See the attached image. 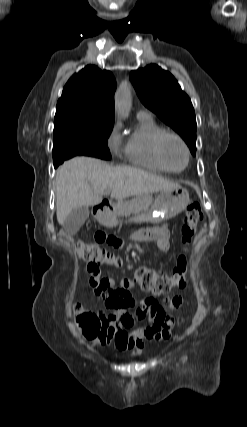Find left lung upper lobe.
I'll return each instance as SVG.
<instances>
[{
	"label": "left lung upper lobe",
	"mask_w": 247,
	"mask_h": 427,
	"mask_svg": "<svg viewBox=\"0 0 247 427\" xmlns=\"http://www.w3.org/2000/svg\"><path fill=\"white\" fill-rule=\"evenodd\" d=\"M133 83L141 102L171 126L196 155V119L190 98L177 80L159 66L151 64L132 71Z\"/></svg>",
	"instance_id": "5c2ea615"
}]
</instances>
